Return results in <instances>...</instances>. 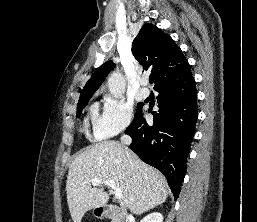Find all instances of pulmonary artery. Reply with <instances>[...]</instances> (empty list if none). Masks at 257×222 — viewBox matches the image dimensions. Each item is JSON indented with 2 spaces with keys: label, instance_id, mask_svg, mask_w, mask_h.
<instances>
[{
  "label": "pulmonary artery",
  "instance_id": "e3ab8cb5",
  "mask_svg": "<svg viewBox=\"0 0 257 222\" xmlns=\"http://www.w3.org/2000/svg\"><path fill=\"white\" fill-rule=\"evenodd\" d=\"M148 81L146 78H144L141 82V89H140V93L142 95V97L147 98L150 95V91L149 89L146 87Z\"/></svg>",
  "mask_w": 257,
  "mask_h": 222
}]
</instances>
